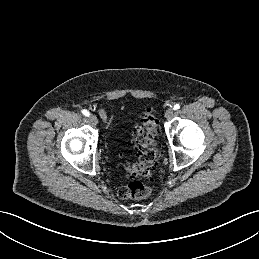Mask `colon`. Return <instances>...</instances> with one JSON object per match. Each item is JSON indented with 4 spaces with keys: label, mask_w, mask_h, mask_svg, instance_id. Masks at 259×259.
Returning <instances> with one entry per match:
<instances>
[{
    "label": "colon",
    "mask_w": 259,
    "mask_h": 259,
    "mask_svg": "<svg viewBox=\"0 0 259 259\" xmlns=\"http://www.w3.org/2000/svg\"><path fill=\"white\" fill-rule=\"evenodd\" d=\"M158 121L147 109L135 130V144L138 154V163H127L125 170L131 177H149L158 159L156 149ZM151 187L139 181H132L118 191L121 199H142L151 193Z\"/></svg>",
    "instance_id": "colon-1"
}]
</instances>
